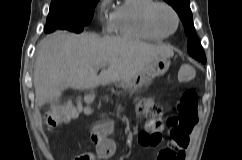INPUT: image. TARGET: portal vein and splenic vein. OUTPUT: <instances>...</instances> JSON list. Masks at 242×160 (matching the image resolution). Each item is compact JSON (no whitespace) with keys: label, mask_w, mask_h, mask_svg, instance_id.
Listing matches in <instances>:
<instances>
[{"label":"portal vein and splenic vein","mask_w":242,"mask_h":160,"mask_svg":"<svg viewBox=\"0 0 242 160\" xmlns=\"http://www.w3.org/2000/svg\"><path fill=\"white\" fill-rule=\"evenodd\" d=\"M106 65L105 64H101V65H98L97 68H104Z\"/></svg>","instance_id":"18ae733b"}]
</instances>
